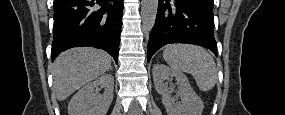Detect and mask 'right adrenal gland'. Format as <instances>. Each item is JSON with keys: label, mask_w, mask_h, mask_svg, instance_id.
Here are the masks:
<instances>
[{"label": "right adrenal gland", "mask_w": 285, "mask_h": 115, "mask_svg": "<svg viewBox=\"0 0 285 115\" xmlns=\"http://www.w3.org/2000/svg\"><path fill=\"white\" fill-rule=\"evenodd\" d=\"M110 71H113V69H112V68H110Z\"/></svg>", "instance_id": "obj_1"}]
</instances>
